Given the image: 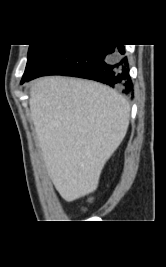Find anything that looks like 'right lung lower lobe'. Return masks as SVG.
Instances as JSON below:
<instances>
[{"label": "right lung lower lobe", "mask_w": 166, "mask_h": 267, "mask_svg": "<svg viewBox=\"0 0 166 267\" xmlns=\"http://www.w3.org/2000/svg\"><path fill=\"white\" fill-rule=\"evenodd\" d=\"M123 45H53L23 81L45 75H67L105 83L133 96V83Z\"/></svg>", "instance_id": "right-lung-lower-lobe-1"}]
</instances>
